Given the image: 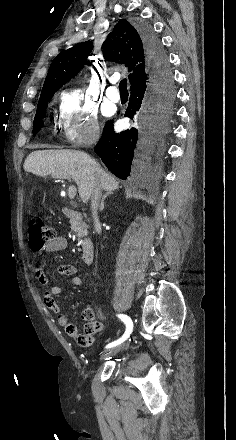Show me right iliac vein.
<instances>
[{"label":"right iliac vein","mask_w":236,"mask_h":440,"mask_svg":"<svg viewBox=\"0 0 236 440\" xmlns=\"http://www.w3.org/2000/svg\"><path fill=\"white\" fill-rule=\"evenodd\" d=\"M122 345H118L115 347H112L111 349H109L108 351H106L104 354L101 355V359H104L110 355H114L117 352H119V350L121 349Z\"/></svg>","instance_id":"63e3f726"}]
</instances>
